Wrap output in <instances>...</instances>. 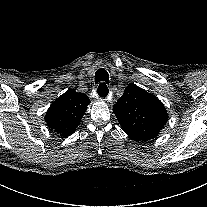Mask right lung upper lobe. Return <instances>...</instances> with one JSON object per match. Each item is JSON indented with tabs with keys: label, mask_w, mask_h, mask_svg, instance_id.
I'll use <instances>...</instances> for the list:
<instances>
[{
	"label": "right lung upper lobe",
	"mask_w": 207,
	"mask_h": 207,
	"mask_svg": "<svg viewBox=\"0 0 207 207\" xmlns=\"http://www.w3.org/2000/svg\"><path fill=\"white\" fill-rule=\"evenodd\" d=\"M89 103L85 94L69 89L50 105L45 121L55 132L67 137L80 124Z\"/></svg>",
	"instance_id": "obj_1"
}]
</instances>
